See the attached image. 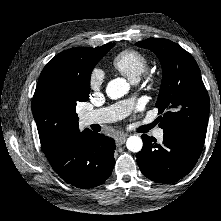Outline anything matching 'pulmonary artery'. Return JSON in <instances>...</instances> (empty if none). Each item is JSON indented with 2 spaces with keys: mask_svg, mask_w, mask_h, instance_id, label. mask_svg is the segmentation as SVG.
Returning a JSON list of instances; mask_svg holds the SVG:
<instances>
[{
  "mask_svg": "<svg viewBox=\"0 0 221 221\" xmlns=\"http://www.w3.org/2000/svg\"><path fill=\"white\" fill-rule=\"evenodd\" d=\"M132 105V100L120 101L106 108L85 112L81 115L80 121L83 126L113 122L129 114ZM153 135L157 139H161L164 135V131L163 129L158 128Z\"/></svg>",
  "mask_w": 221,
  "mask_h": 221,
  "instance_id": "pulmonary-artery-1",
  "label": "pulmonary artery"
}]
</instances>
